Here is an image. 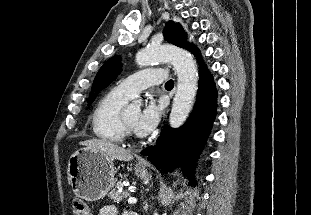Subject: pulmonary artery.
<instances>
[{
    "mask_svg": "<svg viewBox=\"0 0 311 215\" xmlns=\"http://www.w3.org/2000/svg\"><path fill=\"white\" fill-rule=\"evenodd\" d=\"M165 78L166 71L164 69L148 68L122 79L117 85V88L132 98L142 90L162 83Z\"/></svg>",
    "mask_w": 311,
    "mask_h": 215,
    "instance_id": "obj_1",
    "label": "pulmonary artery"
}]
</instances>
